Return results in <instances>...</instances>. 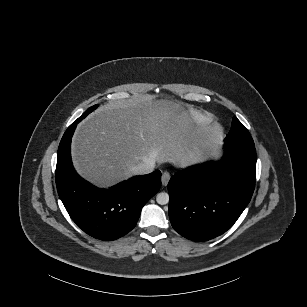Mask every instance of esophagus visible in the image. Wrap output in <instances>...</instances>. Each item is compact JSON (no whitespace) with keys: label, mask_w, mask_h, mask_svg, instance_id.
Here are the masks:
<instances>
[{"label":"esophagus","mask_w":307,"mask_h":307,"mask_svg":"<svg viewBox=\"0 0 307 307\" xmlns=\"http://www.w3.org/2000/svg\"><path fill=\"white\" fill-rule=\"evenodd\" d=\"M169 180H170V173L169 172H164L162 174V177H161L162 185L163 186H167Z\"/></svg>","instance_id":"esophagus-1"}]
</instances>
